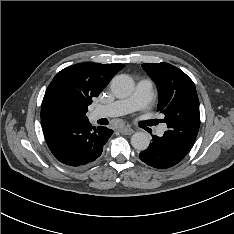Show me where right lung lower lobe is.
Listing matches in <instances>:
<instances>
[{
  "mask_svg": "<svg viewBox=\"0 0 234 234\" xmlns=\"http://www.w3.org/2000/svg\"><path fill=\"white\" fill-rule=\"evenodd\" d=\"M42 128L52 154L61 163L73 167L96 160L113 133L106 127H91L87 117L58 122Z\"/></svg>",
  "mask_w": 234,
  "mask_h": 234,
  "instance_id": "right-lung-lower-lobe-1",
  "label": "right lung lower lobe"
}]
</instances>
